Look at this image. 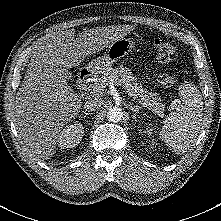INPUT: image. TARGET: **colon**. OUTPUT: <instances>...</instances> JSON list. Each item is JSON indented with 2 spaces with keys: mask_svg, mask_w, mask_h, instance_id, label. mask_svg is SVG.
I'll list each match as a JSON object with an SVG mask.
<instances>
[{
  "mask_svg": "<svg viewBox=\"0 0 221 221\" xmlns=\"http://www.w3.org/2000/svg\"><path fill=\"white\" fill-rule=\"evenodd\" d=\"M157 58L161 63H170L177 57L175 48L162 40L154 41ZM160 85L164 89H171L175 85V78L170 74H163L159 79Z\"/></svg>",
  "mask_w": 221,
  "mask_h": 221,
  "instance_id": "colon-1",
  "label": "colon"
}]
</instances>
